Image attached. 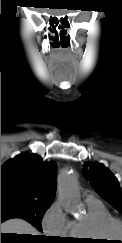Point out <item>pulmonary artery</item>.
<instances>
[{"instance_id": "pulmonary-artery-1", "label": "pulmonary artery", "mask_w": 122, "mask_h": 243, "mask_svg": "<svg viewBox=\"0 0 122 243\" xmlns=\"http://www.w3.org/2000/svg\"><path fill=\"white\" fill-rule=\"evenodd\" d=\"M86 200L91 201V200H97L96 197L93 194H88L86 196Z\"/></svg>"}]
</instances>
